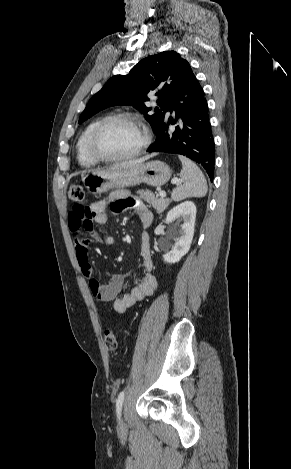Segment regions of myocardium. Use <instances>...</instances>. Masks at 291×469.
<instances>
[{
  "label": "myocardium",
  "mask_w": 291,
  "mask_h": 469,
  "mask_svg": "<svg viewBox=\"0 0 291 469\" xmlns=\"http://www.w3.org/2000/svg\"><path fill=\"white\" fill-rule=\"evenodd\" d=\"M118 121L127 122L138 127L143 132L144 138L140 146L129 154H126L123 156H117V157L107 156L100 149V146H99L100 136L107 126ZM150 143H151V133L149 129L138 118L129 114H114V115L105 117L93 129L89 138L88 146H89V151L91 155L98 161L107 162V163H116V162L127 161V160L137 157L148 148Z\"/></svg>",
  "instance_id": "f54148a6"
}]
</instances>
